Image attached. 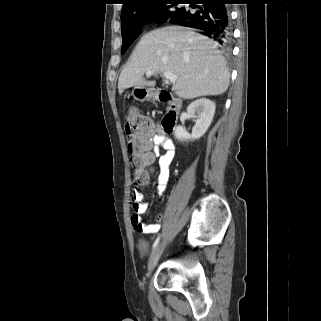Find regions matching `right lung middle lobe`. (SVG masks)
Listing matches in <instances>:
<instances>
[{
  "mask_svg": "<svg viewBox=\"0 0 321 321\" xmlns=\"http://www.w3.org/2000/svg\"><path fill=\"white\" fill-rule=\"evenodd\" d=\"M184 0H162L149 5L136 13L121 18L123 54L137 38L142 25L147 21L166 23L171 15L179 10L177 7Z\"/></svg>",
  "mask_w": 321,
  "mask_h": 321,
  "instance_id": "dd1d6c3e",
  "label": "right lung middle lobe"
}]
</instances>
